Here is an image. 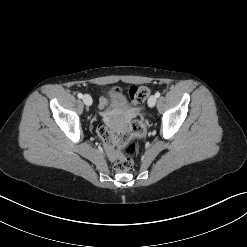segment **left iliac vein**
<instances>
[{"mask_svg": "<svg viewBox=\"0 0 247 247\" xmlns=\"http://www.w3.org/2000/svg\"><path fill=\"white\" fill-rule=\"evenodd\" d=\"M157 98L155 95H151L148 99V105L149 107H154L156 104Z\"/></svg>", "mask_w": 247, "mask_h": 247, "instance_id": "obj_1", "label": "left iliac vein"}]
</instances>
